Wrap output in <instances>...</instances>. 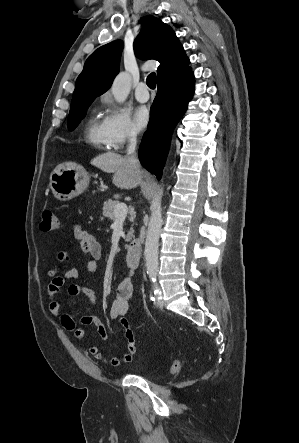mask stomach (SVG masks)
I'll list each match as a JSON object with an SVG mask.
<instances>
[{
	"instance_id": "stomach-1",
	"label": "stomach",
	"mask_w": 299,
	"mask_h": 443,
	"mask_svg": "<svg viewBox=\"0 0 299 443\" xmlns=\"http://www.w3.org/2000/svg\"><path fill=\"white\" fill-rule=\"evenodd\" d=\"M90 182L87 171L75 163L57 166L50 175V189L55 198L68 201L84 192Z\"/></svg>"
}]
</instances>
